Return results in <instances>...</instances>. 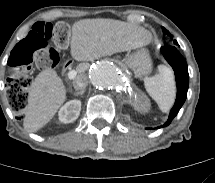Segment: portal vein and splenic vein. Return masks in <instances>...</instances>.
<instances>
[{"mask_svg": "<svg viewBox=\"0 0 215 183\" xmlns=\"http://www.w3.org/2000/svg\"><path fill=\"white\" fill-rule=\"evenodd\" d=\"M76 75H77V71L76 70H71L68 73V78L69 79H74L76 77Z\"/></svg>", "mask_w": 215, "mask_h": 183, "instance_id": "18ae733b", "label": "portal vein and splenic vein"}]
</instances>
